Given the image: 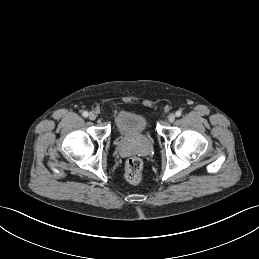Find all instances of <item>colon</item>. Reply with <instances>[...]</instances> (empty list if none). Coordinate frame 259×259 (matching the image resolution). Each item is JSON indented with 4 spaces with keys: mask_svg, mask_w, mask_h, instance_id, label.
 <instances>
[{
    "mask_svg": "<svg viewBox=\"0 0 259 259\" xmlns=\"http://www.w3.org/2000/svg\"><path fill=\"white\" fill-rule=\"evenodd\" d=\"M143 163L138 157H131L125 164L124 176L132 184H137L142 180Z\"/></svg>",
    "mask_w": 259,
    "mask_h": 259,
    "instance_id": "1",
    "label": "colon"
}]
</instances>
